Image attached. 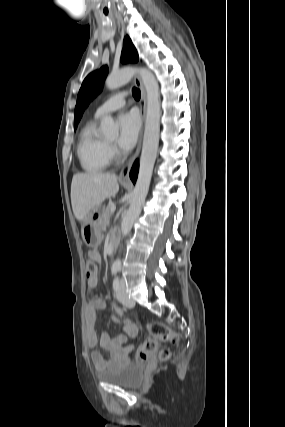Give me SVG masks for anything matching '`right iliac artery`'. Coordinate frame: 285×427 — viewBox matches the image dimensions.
Segmentation results:
<instances>
[{
  "label": "right iliac artery",
  "mask_w": 285,
  "mask_h": 427,
  "mask_svg": "<svg viewBox=\"0 0 285 427\" xmlns=\"http://www.w3.org/2000/svg\"><path fill=\"white\" fill-rule=\"evenodd\" d=\"M118 270L119 269L117 267H112V269H111L112 274L115 275L118 272Z\"/></svg>",
  "instance_id": "1"
}]
</instances>
